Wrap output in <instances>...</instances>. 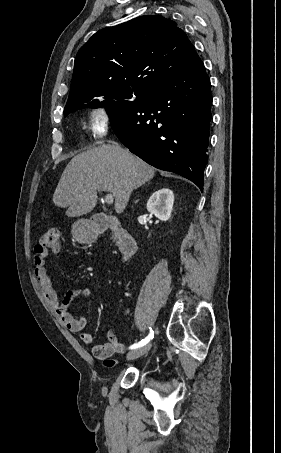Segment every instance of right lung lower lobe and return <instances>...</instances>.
<instances>
[{
  "mask_svg": "<svg viewBox=\"0 0 281 453\" xmlns=\"http://www.w3.org/2000/svg\"><path fill=\"white\" fill-rule=\"evenodd\" d=\"M212 96L198 57L134 101L105 105L119 140L148 164L177 173L203 190Z\"/></svg>",
  "mask_w": 281,
  "mask_h": 453,
  "instance_id": "98d812e1",
  "label": "right lung lower lobe"
}]
</instances>
